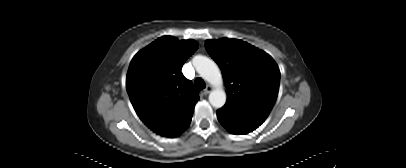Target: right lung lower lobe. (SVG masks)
<instances>
[{"instance_id":"98d812e1","label":"right lung lower lobe","mask_w":406,"mask_h":168,"mask_svg":"<svg viewBox=\"0 0 406 168\" xmlns=\"http://www.w3.org/2000/svg\"><path fill=\"white\" fill-rule=\"evenodd\" d=\"M189 124H190V122L187 124V126L183 127V128L180 130V132L177 134V136H178L179 134H181V133L189 126ZM174 137H175V136H174Z\"/></svg>"}]
</instances>
